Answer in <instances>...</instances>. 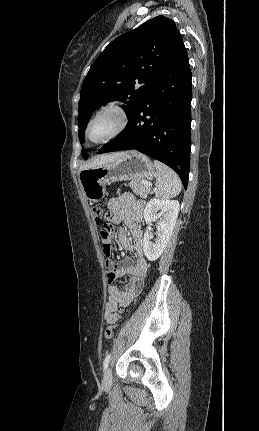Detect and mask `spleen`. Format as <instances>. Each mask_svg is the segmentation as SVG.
Here are the masks:
<instances>
[{
  "label": "spleen",
  "mask_w": 259,
  "mask_h": 431,
  "mask_svg": "<svg viewBox=\"0 0 259 431\" xmlns=\"http://www.w3.org/2000/svg\"><path fill=\"white\" fill-rule=\"evenodd\" d=\"M156 168V196L161 199H169L181 192L182 184L179 176L170 167L154 160Z\"/></svg>",
  "instance_id": "1"
}]
</instances>
